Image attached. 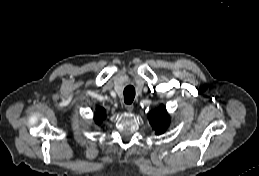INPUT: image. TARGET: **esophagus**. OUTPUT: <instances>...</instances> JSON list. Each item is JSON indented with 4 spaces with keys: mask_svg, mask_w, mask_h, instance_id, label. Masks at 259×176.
<instances>
[{
    "mask_svg": "<svg viewBox=\"0 0 259 176\" xmlns=\"http://www.w3.org/2000/svg\"><path fill=\"white\" fill-rule=\"evenodd\" d=\"M125 108H126V110H127L128 112H132L133 109H134V106L131 105V104H127V105H125Z\"/></svg>",
    "mask_w": 259,
    "mask_h": 176,
    "instance_id": "obj_1",
    "label": "esophagus"
}]
</instances>
